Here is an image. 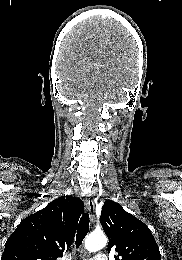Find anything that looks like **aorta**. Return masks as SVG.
<instances>
[{"mask_svg": "<svg viewBox=\"0 0 182 260\" xmlns=\"http://www.w3.org/2000/svg\"><path fill=\"white\" fill-rule=\"evenodd\" d=\"M107 238L103 233H92L85 240V248L89 252H96L104 248Z\"/></svg>", "mask_w": 182, "mask_h": 260, "instance_id": "aorta-1", "label": "aorta"}]
</instances>
